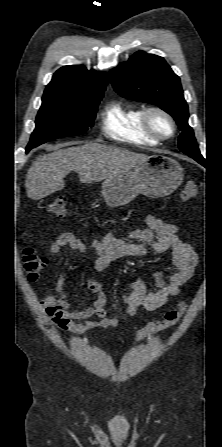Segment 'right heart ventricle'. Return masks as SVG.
<instances>
[{
    "instance_id": "obj_1",
    "label": "right heart ventricle",
    "mask_w": 222,
    "mask_h": 447,
    "mask_svg": "<svg viewBox=\"0 0 222 447\" xmlns=\"http://www.w3.org/2000/svg\"><path fill=\"white\" fill-rule=\"evenodd\" d=\"M144 109L140 106L112 101L101 113V128L108 137L125 143L157 144L142 126Z\"/></svg>"
}]
</instances>
